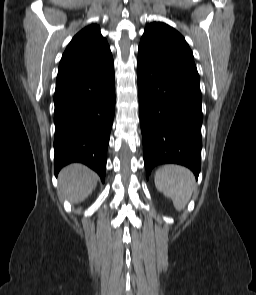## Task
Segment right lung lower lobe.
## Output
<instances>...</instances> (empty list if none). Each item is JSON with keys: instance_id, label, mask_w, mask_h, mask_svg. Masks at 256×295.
I'll use <instances>...</instances> for the list:
<instances>
[{"instance_id": "1", "label": "right lung lower lobe", "mask_w": 256, "mask_h": 295, "mask_svg": "<svg viewBox=\"0 0 256 295\" xmlns=\"http://www.w3.org/2000/svg\"><path fill=\"white\" fill-rule=\"evenodd\" d=\"M54 171L82 162L105 180L115 111L114 64L57 79L54 94Z\"/></svg>"}]
</instances>
